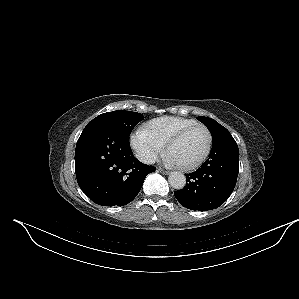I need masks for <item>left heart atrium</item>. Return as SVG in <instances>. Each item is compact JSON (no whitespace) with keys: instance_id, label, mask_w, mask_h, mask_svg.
Instances as JSON below:
<instances>
[{"instance_id":"39dd6f15","label":"left heart atrium","mask_w":299,"mask_h":299,"mask_svg":"<svg viewBox=\"0 0 299 299\" xmlns=\"http://www.w3.org/2000/svg\"><path fill=\"white\" fill-rule=\"evenodd\" d=\"M164 160L165 162L168 164V165H171V166H181V164L179 163V161L176 159V157L171 154L170 152H167L165 155H164Z\"/></svg>"}]
</instances>
